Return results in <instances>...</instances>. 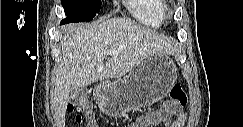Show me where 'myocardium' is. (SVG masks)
<instances>
[{
  "label": "myocardium",
  "instance_id": "f54148a6",
  "mask_svg": "<svg viewBox=\"0 0 243 127\" xmlns=\"http://www.w3.org/2000/svg\"><path fill=\"white\" fill-rule=\"evenodd\" d=\"M167 11H168L169 15H173V13H174V9L173 8H169Z\"/></svg>",
  "mask_w": 243,
  "mask_h": 127
}]
</instances>
